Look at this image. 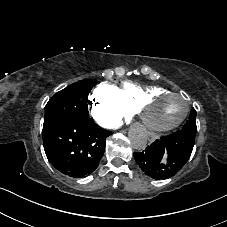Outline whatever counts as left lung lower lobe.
Returning a JSON list of instances; mask_svg holds the SVG:
<instances>
[{"instance_id": "1", "label": "left lung lower lobe", "mask_w": 227, "mask_h": 227, "mask_svg": "<svg viewBox=\"0 0 227 227\" xmlns=\"http://www.w3.org/2000/svg\"><path fill=\"white\" fill-rule=\"evenodd\" d=\"M194 141L195 134L177 131L156 140L145 151L134 153V158L146 175L157 180L168 179L186 164Z\"/></svg>"}]
</instances>
